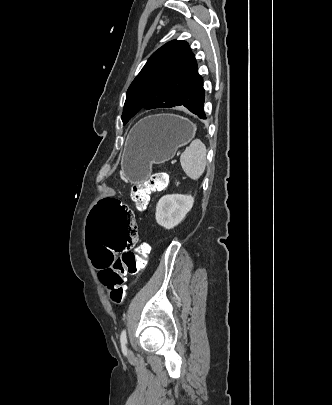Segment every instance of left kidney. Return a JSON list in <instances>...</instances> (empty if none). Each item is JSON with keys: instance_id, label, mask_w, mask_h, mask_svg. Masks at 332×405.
<instances>
[{"instance_id": "left-kidney-1", "label": "left kidney", "mask_w": 332, "mask_h": 405, "mask_svg": "<svg viewBox=\"0 0 332 405\" xmlns=\"http://www.w3.org/2000/svg\"><path fill=\"white\" fill-rule=\"evenodd\" d=\"M194 198L190 195L168 194L156 206V222L166 229H172L185 218L192 209Z\"/></svg>"}]
</instances>
